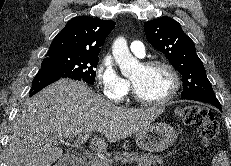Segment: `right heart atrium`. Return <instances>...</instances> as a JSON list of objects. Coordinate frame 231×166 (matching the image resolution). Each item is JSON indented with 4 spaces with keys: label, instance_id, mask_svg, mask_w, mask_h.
I'll list each match as a JSON object with an SVG mask.
<instances>
[{
    "label": "right heart atrium",
    "instance_id": "1",
    "mask_svg": "<svg viewBox=\"0 0 231 166\" xmlns=\"http://www.w3.org/2000/svg\"><path fill=\"white\" fill-rule=\"evenodd\" d=\"M96 79L102 94L111 101H121L130 91V83L119 73L111 56H104L97 69Z\"/></svg>",
    "mask_w": 231,
    "mask_h": 166
}]
</instances>
